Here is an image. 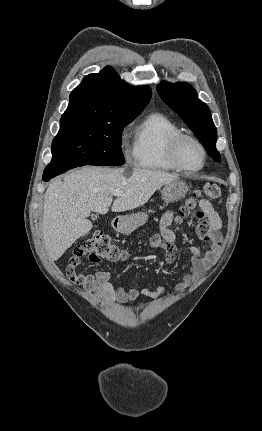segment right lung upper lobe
Here are the masks:
<instances>
[{
    "label": "right lung upper lobe",
    "instance_id": "cb5924a9",
    "mask_svg": "<svg viewBox=\"0 0 262 431\" xmlns=\"http://www.w3.org/2000/svg\"><path fill=\"white\" fill-rule=\"evenodd\" d=\"M148 86L133 87L107 67L99 74L85 76L70 94L69 106L60 123L136 118L149 103Z\"/></svg>",
    "mask_w": 262,
    "mask_h": 431
}]
</instances>
